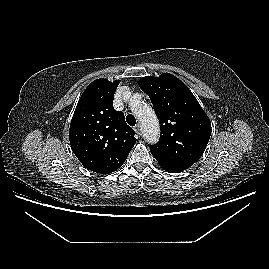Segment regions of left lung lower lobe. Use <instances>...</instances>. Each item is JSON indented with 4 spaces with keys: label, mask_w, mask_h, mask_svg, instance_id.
Listing matches in <instances>:
<instances>
[{
    "label": "left lung lower lobe",
    "mask_w": 269,
    "mask_h": 269,
    "mask_svg": "<svg viewBox=\"0 0 269 269\" xmlns=\"http://www.w3.org/2000/svg\"><path fill=\"white\" fill-rule=\"evenodd\" d=\"M163 169H165L166 171H168L170 173H178V172H181V171H178V170H172V169H166V168H163Z\"/></svg>",
    "instance_id": "obj_1"
}]
</instances>
